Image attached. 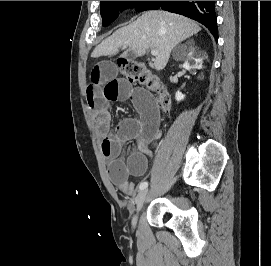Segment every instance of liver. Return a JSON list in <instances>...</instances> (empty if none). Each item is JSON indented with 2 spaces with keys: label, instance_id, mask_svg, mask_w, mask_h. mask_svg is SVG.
Here are the masks:
<instances>
[{
  "label": "liver",
  "instance_id": "liver-1",
  "mask_svg": "<svg viewBox=\"0 0 271 266\" xmlns=\"http://www.w3.org/2000/svg\"><path fill=\"white\" fill-rule=\"evenodd\" d=\"M200 30L197 23L184 16L151 10L106 38L91 56H114L119 53L121 47H129L139 56L144 55L148 49H155L158 55L155 56L154 67L156 70H162L168 63L172 49Z\"/></svg>",
  "mask_w": 271,
  "mask_h": 266
}]
</instances>
